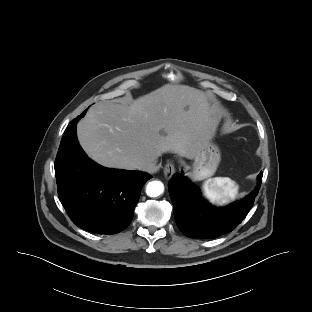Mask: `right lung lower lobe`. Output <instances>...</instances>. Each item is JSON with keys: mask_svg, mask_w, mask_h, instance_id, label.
<instances>
[{"mask_svg": "<svg viewBox=\"0 0 312 312\" xmlns=\"http://www.w3.org/2000/svg\"><path fill=\"white\" fill-rule=\"evenodd\" d=\"M59 199L79 228L115 234L131 222L143 185L142 171L102 167L87 157L77 141L76 124L68 126L55 160Z\"/></svg>", "mask_w": 312, "mask_h": 312, "instance_id": "obj_1", "label": "right lung lower lobe"}]
</instances>
